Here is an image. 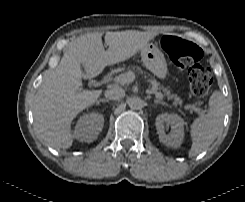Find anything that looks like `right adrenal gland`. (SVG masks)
<instances>
[{
	"instance_id": "1",
	"label": "right adrenal gland",
	"mask_w": 245,
	"mask_h": 202,
	"mask_svg": "<svg viewBox=\"0 0 245 202\" xmlns=\"http://www.w3.org/2000/svg\"><path fill=\"white\" fill-rule=\"evenodd\" d=\"M105 102H109L108 99H100L99 101H97V105H99L100 103H105Z\"/></svg>"
}]
</instances>
